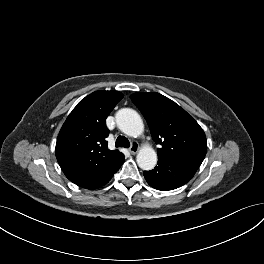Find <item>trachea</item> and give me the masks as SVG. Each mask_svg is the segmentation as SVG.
<instances>
[{"instance_id":"3493384b","label":"trachea","mask_w":264,"mask_h":264,"mask_svg":"<svg viewBox=\"0 0 264 264\" xmlns=\"http://www.w3.org/2000/svg\"><path fill=\"white\" fill-rule=\"evenodd\" d=\"M116 147L129 148L130 147V142L124 136H118L117 139H116Z\"/></svg>"}]
</instances>
